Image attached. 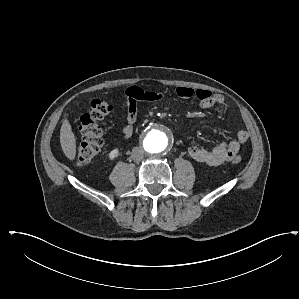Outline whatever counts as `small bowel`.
Listing matches in <instances>:
<instances>
[{
  "label": "small bowel",
  "mask_w": 299,
  "mask_h": 299,
  "mask_svg": "<svg viewBox=\"0 0 299 299\" xmlns=\"http://www.w3.org/2000/svg\"><path fill=\"white\" fill-rule=\"evenodd\" d=\"M176 95L181 99H192L200 109H209L215 106H224L225 98L220 94H212L208 90L193 89L179 86ZM126 101L123 105L124 114L122 116L123 127L121 130L124 139L132 137L133 124L137 118L138 101H159L164 98L162 92L156 89H143L137 86L126 90ZM249 139V133L245 130L237 131L235 137L229 141L220 142L211 148L190 146L187 149L188 155L196 162L208 166H217L223 162L230 161L240 150L241 146Z\"/></svg>",
  "instance_id": "small-bowel-1"
}]
</instances>
